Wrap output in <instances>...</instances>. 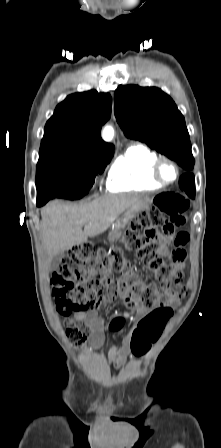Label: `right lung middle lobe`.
<instances>
[{
	"label": "right lung middle lobe",
	"mask_w": 221,
	"mask_h": 448,
	"mask_svg": "<svg viewBox=\"0 0 221 448\" xmlns=\"http://www.w3.org/2000/svg\"><path fill=\"white\" fill-rule=\"evenodd\" d=\"M113 154L92 155L65 147L40 149L36 170L38 198H82Z\"/></svg>",
	"instance_id": "1"
}]
</instances>
